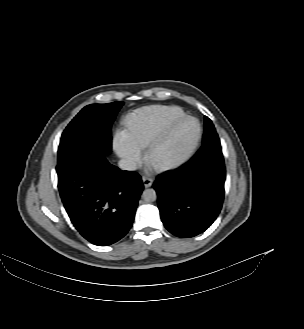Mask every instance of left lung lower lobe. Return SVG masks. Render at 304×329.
Returning a JSON list of instances; mask_svg holds the SVG:
<instances>
[{
  "label": "left lung lower lobe",
  "mask_w": 304,
  "mask_h": 329,
  "mask_svg": "<svg viewBox=\"0 0 304 329\" xmlns=\"http://www.w3.org/2000/svg\"><path fill=\"white\" fill-rule=\"evenodd\" d=\"M225 164L217 133L176 175L158 176L153 187L164 226L178 237H193L208 229L224 199Z\"/></svg>",
  "instance_id": "0a47b994"
}]
</instances>
